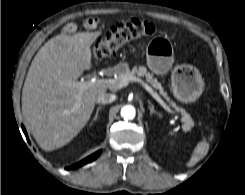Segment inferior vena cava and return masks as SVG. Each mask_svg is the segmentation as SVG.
<instances>
[{
    "instance_id": "1",
    "label": "inferior vena cava",
    "mask_w": 245,
    "mask_h": 195,
    "mask_svg": "<svg viewBox=\"0 0 245 195\" xmlns=\"http://www.w3.org/2000/svg\"><path fill=\"white\" fill-rule=\"evenodd\" d=\"M116 95L109 93H101L97 96L96 102L99 104H108L115 101Z\"/></svg>"
}]
</instances>
